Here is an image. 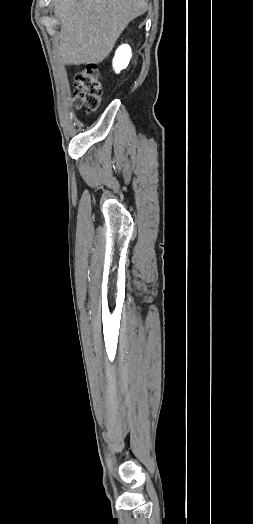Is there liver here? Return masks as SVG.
Wrapping results in <instances>:
<instances>
[{
	"label": "liver",
	"mask_w": 253,
	"mask_h": 524,
	"mask_svg": "<svg viewBox=\"0 0 253 524\" xmlns=\"http://www.w3.org/2000/svg\"><path fill=\"white\" fill-rule=\"evenodd\" d=\"M147 8L146 0H55L61 60L68 65L102 62L127 25Z\"/></svg>",
	"instance_id": "1"
}]
</instances>
